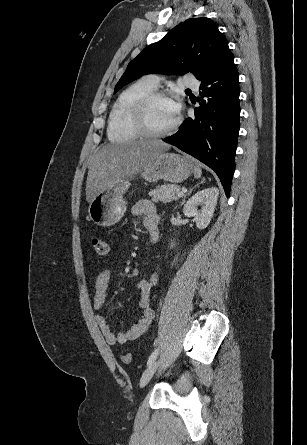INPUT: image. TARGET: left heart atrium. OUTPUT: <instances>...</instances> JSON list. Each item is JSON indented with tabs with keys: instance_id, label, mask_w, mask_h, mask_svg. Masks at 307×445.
<instances>
[{
	"instance_id": "left-heart-atrium-1",
	"label": "left heart atrium",
	"mask_w": 307,
	"mask_h": 445,
	"mask_svg": "<svg viewBox=\"0 0 307 445\" xmlns=\"http://www.w3.org/2000/svg\"><path fill=\"white\" fill-rule=\"evenodd\" d=\"M170 110L172 114L176 117L179 112V105L173 100H168Z\"/></svg>"
}]
</instances>
